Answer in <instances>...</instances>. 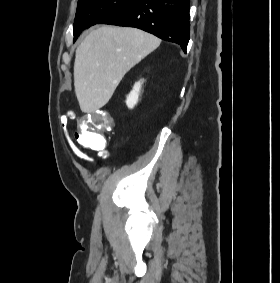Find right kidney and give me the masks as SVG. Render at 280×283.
Returning a JSON list of instances; mask_svg holds the SVG:
<instances>
[{
  "instance_id": "obj_1",
  "label": "right kidney",
  "mask_w": 280,
  "mask_h": 283,
  "mask_svg": "<svg viewBox=\"0 0 280 283\" xmlns=\"http://www.w3.org/2000/svg\"><path fill=\"white\" fill-rule=\"evenodd\" d=\"M142 83H143V80L136 82L133 86V90L127 96L126 105L129 109L134 108V106L137 104Z\"/></svg>"
}]
</instances>
